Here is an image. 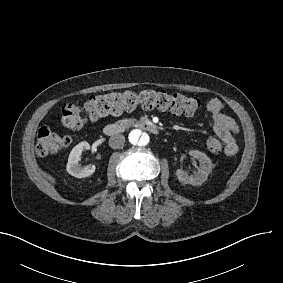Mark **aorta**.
Instances as JSON below:
<instances>
[{
	"instance_id": "obj_1",
	"label": "aorta",
	"mask_w": 283,
	"mask_h": 283,
	"mask_svg": "<svg viewBox=\"0 0 283 283\" xmlns=\"http://www.w3.org/2000/svg\"><path fill=\"white\" fill-rule=\"evenodd\" d=\"M128 139L132 145L139 147L147 146L150 142L149 134L140 129H133L129 133Z\"/></svg>"
}]
</instances>
